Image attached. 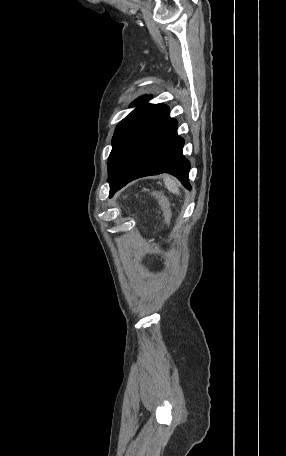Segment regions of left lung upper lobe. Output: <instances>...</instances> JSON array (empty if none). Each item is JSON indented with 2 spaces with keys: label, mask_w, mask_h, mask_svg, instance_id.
I'll list each match as a JSON object with an SVG mask.
<instances>
[{
  "label": "left lung upper lobe",
  "mask_w": 286,
  "mask_h": 456,
  "mask_svg": "<svg viewBox=\"0 0 286 456\" xmlns=\"http://www.w3.org/2000/svg\"><path fill=\"white\" fill-rule=\"evenodd\" d=\"M148 100V96H143L133 102L132 106L137 108L120 121L115 129L108 159L109 183L135 139L168 109V106L163 104H148Z\"/></svg>",
  "instance_id": "5c2ea615"
}]
</instances>
